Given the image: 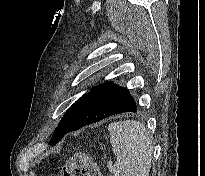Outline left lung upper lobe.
I'll use <instances>...</instances> for the list:
<instances>
[{
    "instance_id": "left-lung-upper-lobe-1",
    "label": "left lung upper lobe",
    "mask_w": 205,
    "mask_h": 176,
    "mask_svg": "<svg viewBox=\"0 0 205 176\" xmlns=\"http://www.w3.org/2000/svg\"><path fill=\"white\" fill-rule=\"evenodd\" d=\"M101 85L93 88L88 94L83 95L81 98H79L64 114L63 118L61 119L60 123L56 127L54 134L52 135L51 140L49 141V144L51 146L56 145L64 136L66 130L68 129L69 125L71 124L77 108L79 104L82 102V100L89 94L95 92Z\"/></svg>"
}]
</instances>
